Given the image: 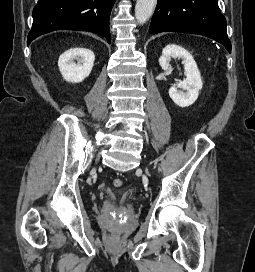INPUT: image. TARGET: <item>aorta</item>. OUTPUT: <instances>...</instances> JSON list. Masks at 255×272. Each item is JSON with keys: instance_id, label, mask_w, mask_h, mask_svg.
<instances>
[{"instance_id": "762f6f07", "label": "aorta", "mask_w": 255, "mask_h": 272, "mask_svg": "<svg viewBox=\"0 0 255 272\" xmlns=\"http://www.w3.org/2000/svg\"><path fill=\"white\" fill-rule=\"evenodd\" d=\"M157 0H137L135 17L137 22L144 24L152 16Z\"/></svg>"}]
</instances>
